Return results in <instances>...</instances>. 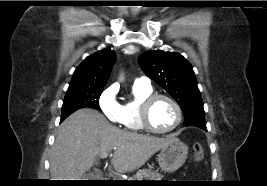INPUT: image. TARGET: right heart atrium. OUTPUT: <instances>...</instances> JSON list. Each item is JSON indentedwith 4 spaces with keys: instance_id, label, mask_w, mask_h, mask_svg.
<instances>
[{
    "instance_id": "d8ad5b80",
    "label": "right heart atrium",
    "mask_w": 267,
    "mask_h": 186,
    "mask_svg": "<svg viewBox=\"0 0 267 186\" xmlns=\"http://www.w3.org/2000/svg\"><path fill=\"white\" fill-rule=\"evenodd\" d=\"M98 104L100 110L109 121H118L120 105L116 100L115 88L109 87L104 89L99 96Z\"/></svg>"
}]
</instances>
